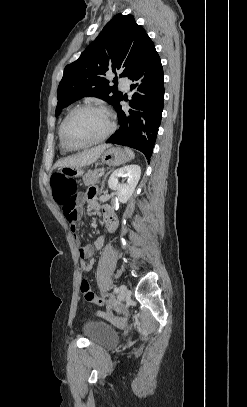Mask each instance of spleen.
<instances>
[{
    "instance_id": "3e777b00",
    "label": "spleen",
    "mask_w": 247,
    "mask_h": 407,
    "mask_svg": "<svg viewBox=\"0 0 247 407\" xmlns=\"http://www.w3.org/2000/svg\"><path fill=\"white\" fill-rule=\"evenodd\" d=\"M125 150L128 152V154H129V156H130L131 159H133V158L135 157V154H134V152H133L131 149L126 148Z\"/></svg>"
}]
</instances>
